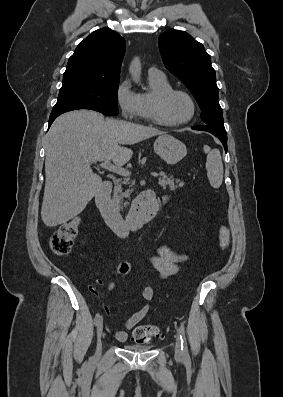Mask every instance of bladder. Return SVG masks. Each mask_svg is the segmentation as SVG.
<instances>
[{
  "label": "bladder",
  "instance_id": "bladder-1",
  "mask_svg": "<svg viewBox=\"0 0 283 397\" xmlns=\"http://www.w3.org/2000/svg\"><path fill=\"white\" fill-rule=\"evenodd\" d=\"M152 345H126L125 348L127 350L133 351V352H147L150 349H152Z\"/></svg>",
  "mask_w": 283,
  "mask_h": 397
}]
</instances>
